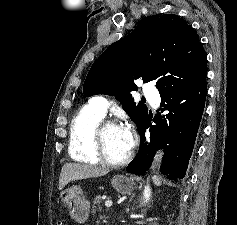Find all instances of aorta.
I'll return each mask as SVG.
<instances>
[{"label":"aorta","mask_w":237,"mask_h":225,"mask_svg":"<svg viewBox=\"0 0 237 225\" xmlns=\"http://www.w3.org/2000/svg\"><path fill=\"white\" fill-rule=\"evenodd\" d=\"M149 195H150V189H149L148 186H146L145 189H144V197H145V199H148Z\"/></svg>","instance_id":"762f6f07"}]
</instances>
